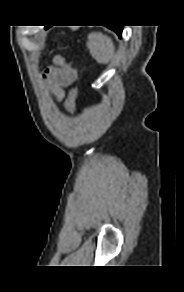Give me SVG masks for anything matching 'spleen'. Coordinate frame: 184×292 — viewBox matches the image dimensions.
Segmentation results:
<instances>
[{
	"label": "spleen",
	"instance_id": "1",
	"mask_svg": "<svg viewBox=\"0 0 184 292\" xmlns=\"http://www.w3.org/2000/svg\"><path fill=\"white\" fill-rule=\"evenodd\" d=\"M87 47L92 57L101 64H108L115 53L112 39L102 33L89 34Z\"/></svg>",
	"mask_w": 184,
	"mask_h": 292
}]
</instances>
